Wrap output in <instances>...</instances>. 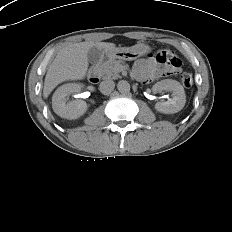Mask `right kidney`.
I'll use <instances>...</instances> for the list:
<instances>
[{
	"label": "right kidney",
	"instance_id": "1",
	"mask_svg": "<svg viewBox=\"0 0 232 232\" xmlns=\"http://www.w3.org/2000/svg\"><path fill=\"white\" fill-rule=\"evenodd\" d=\"M81 85L77 83H67L60 86L52 97V107L54 112L62 118L77 119L88 109V105L83 100L68 101L67 96L81 91Z\"/></svg>",
	"mask_w": 232,
	"mask_h": 232
}]
</instances>
